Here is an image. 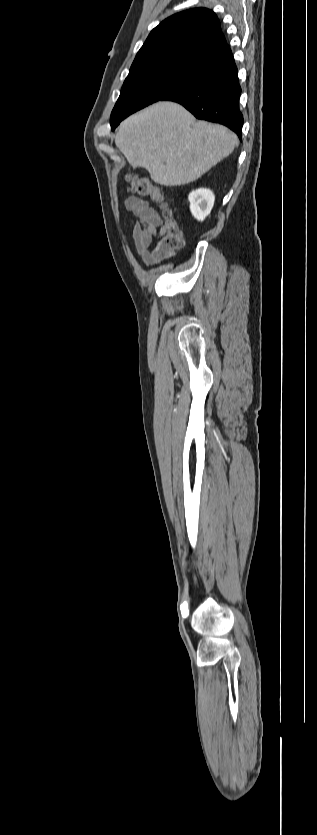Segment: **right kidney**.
<instances>
[{
  "label": "right kidney",
  "instance_id": "ca27d5eb",
  "mask_svg": "<svg viewBox=\"0 0 317 835\" xmlns=\"http://www.w3.org/2000/svg\"><path fill=\"white\" fill-rule=\"evenodd\" d=\"M190 211L194 218L203 221L211 212L215 196L210 189L200 188L193 190L189 196Z\"/></svg>",
  "mask_w": 317,
  "mask_h": 835
}]
</instances>
